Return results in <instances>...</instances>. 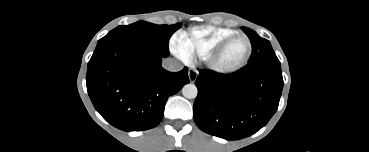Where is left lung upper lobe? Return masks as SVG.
Listing matches in <instances>:
<instances>
[{"instance_id": "5c2ea615", "label": "left lung upper lobe", "mask_w": 369, "mask_h": 152, "mask_svg": "<svg viewBox=\"0 0 369 152\" xmlns=\"http://www.w3.org/2000/svg\"><path fill=\"white\" fill-rule=\"evenodd\" d=\"M242 30L249 37L252 45V54L246 66H255L262 64L280 65V61L275 55L268 40L261 38L253 30L242 27Z\"/></svg>"}]
</instances>
